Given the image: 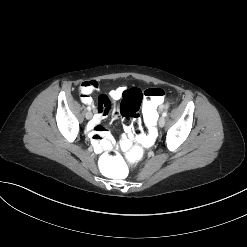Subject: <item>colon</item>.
Here are the masks:
<instances>
[{
	"mask_svg": "<svg viewBox=\"0 0 247 247\" xmlns=\"http://www.w3.org/2000/svg\"><path fill=\"white\" fill-rule=\"evenodd\" d=\"M164 90L148 88L141 91L137 88L126 90L122 96L120 114L129 134L139 140L144 147H151L159 136V122L155 119L157 109L164 100ZM146 117V134L142 136L140 107ZM98 168L106 176L115 180H124L137 174L142 168V159L135 152L120 154L116 150L105 151L98 159Z\"/></svg>",
	"mask_w": 247,
	"mask_h": 247,
	"instance_id": "obj_1",
	"label": "colon"
}]
</instances>
